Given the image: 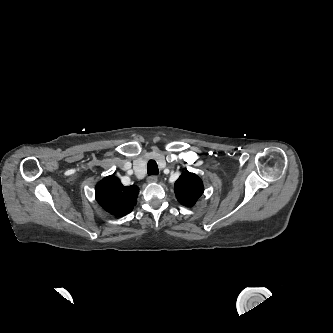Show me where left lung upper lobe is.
Returning a JSON list of instances; mask_svg holds the SVG:
<instances>
[{"mask_svg":"<svg viewBox=\"0 0 333 333\" xmlns=\"http://www.w3.org/2000/svg\"><path fill=\"white\" fill-rule=\"evenodd\" d=\"M204 186L202 180L194 173L182 172L175 182V195L179 203L184 206H193L202 195Z\"/></svg>","mask_w":333,"mask_h":333,"instance_id":"1","label":"left lung upper lobe"}]
</instances>
